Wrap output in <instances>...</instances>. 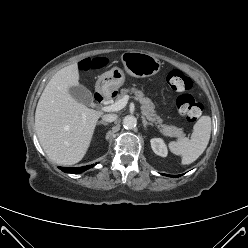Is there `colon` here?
<instances>
[{"label":"colon","instance_id":"1","mask_svg":"<svg viewBox=\"0 0 248 248\" xmlns=\"http://www.w3.org/2000/svg\"><path fill=\"white\" fill-rule=\"evenodd\" d=\"M101 64L99 59H87L82 63L83 69L97 67ZM169 86L176 92L181 93L176 99L179 113L189 122H195L202 114V105L191 94L186 93L192 87L191 79L181 70L173 69L167 75Z\"/></svg>","mask_w":248,"mask_h":248}]
</instances>
